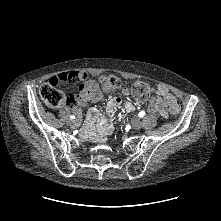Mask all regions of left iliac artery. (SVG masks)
Wrapping results in <instances>:
<instances>
[{
  "mask_svg": "<svg viewBox=\"0 0 221 221\" xmlns=\"http://www.w3.org/2000/svg\"><path fill=\"white\" fill-rule=\"evenodd\" d=\"M138 115H139V117L141 118V117H143V116L145 115V112H144V111H141Z\"/></svg>",
  "mask_w": 221,
  "mask_h": 221,
  "instance_id": "44dca946",
  "label": "left iliac artery"
}]
</instances>
